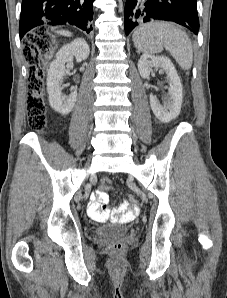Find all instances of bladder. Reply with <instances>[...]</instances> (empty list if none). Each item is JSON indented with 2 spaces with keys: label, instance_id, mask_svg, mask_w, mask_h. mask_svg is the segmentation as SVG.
I'll list each match as a JSON object with an SVG mask.
<instances>
[{
  "label": "bladder",
  "instance_id": "31cf9c89",
  "mask_svg": "<svg viewBox=\"0 0 227 298\" xmlns=\"http://www.w3.org/2000/svg\"><path fill=\"white\" fill-rule=\"evenodd\" d=\"M128 227L117 224L103 225L94 230L95 235L99 237H118L126 234Z\"/></svg>",
  "mask_w": 227,
  "mask_h": 298
}]
</instances>
